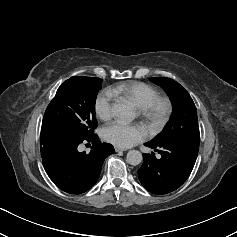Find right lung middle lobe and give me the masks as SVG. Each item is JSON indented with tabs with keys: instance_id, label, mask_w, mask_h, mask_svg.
Here are the masks:
<instances>
[{
	"instance_id": "obj_1",
	"label": "right lung middle lobe",
	"mask_w": 237,
	"mask_h": 237,
	"mask_svg": "<svg viewBox=\"0 0 237 237\" xmlns=\"http://www.w3.org/2000/svg\"><path fill=\"white\" fill-rule=\"evenodd\" d=\"M102 80L95 77L73 76L57 90L48 105L42 129H57L76 138H87L98 123L95 101Z\"/></svg>"
}]
</instances>
